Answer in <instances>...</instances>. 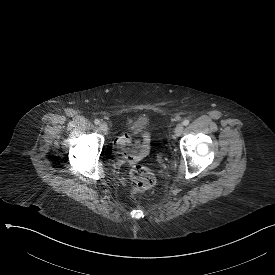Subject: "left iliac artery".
<instances>
[{
  "instance_id": "44dca946",
  "label": "left iliac artery",
  "mask_w": 275,
  "mask_h": 275,
  "mask_svg": "<svg viewBox=\"0 0 275 275\" xmlns=\"http://www.w3.org/2000/svg\"><path fill=\"white\" fill-rule=\"evenodd\" d=\"M183 125H185V126L189 125V120L185 119V120L183 121Z\"/></svg>"
}]
</instances>
